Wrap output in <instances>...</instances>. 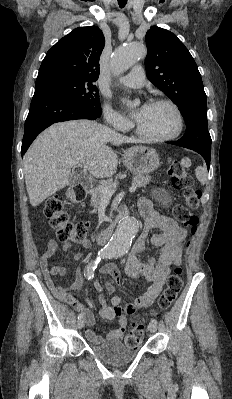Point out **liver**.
Wrapping results in <instances>:
<instances>
[{
  "label": "liver",
  "mask_w": 232,
  "mask_h": 399,
  "mask_svg": "<svg viewBox=\"0 0 232 399\" xmlns=\"http://www.w3.org/2000/svg\"><path fill=\"white\" fill-rule=\"evenodd\" d=\"M136 144L110 130L107 126L90 120H73L53 124L37 136L23 160L25 184L31 205L53 196L69 186L74 160L88 168L95 178H111L117 172L118 156L106 144Z\"/></svg>",
  "instance_id": "6515ba94"
}]
</instances>
